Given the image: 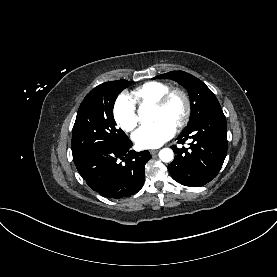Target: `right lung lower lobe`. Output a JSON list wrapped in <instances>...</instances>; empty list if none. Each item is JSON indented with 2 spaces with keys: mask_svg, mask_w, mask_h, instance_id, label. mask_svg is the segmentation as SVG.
<instances>
[{
  "mask_svg": "<svg viewBox=\"0 0 277 277\" xmlns=\"http://www.w3.org/2000/svg\"><path fill=\"white\" fill-rule=\"evenodd\" d=\"M132 142L102 145L73 157L87 185L104 197L120 199L138 192L144 184L148 151H129ZM121 160V162H120Z\"/></svg>",
  "mask_w": 277,
  "mask_h": 277,
  "instance_id": "right-lung-lower-lobe-1",
  "label": "right lung lower lobe"
}]
</instances>
